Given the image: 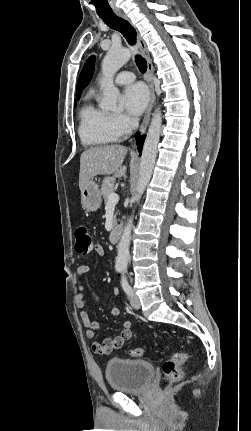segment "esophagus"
<instances>
[{
  "instance_id": "obj_1",
  "label": "esophagus",
  "mask_w": 251,
  "mask_h": 431,
  "mask_svg": "<svg viewBox=\"0 0 251 431\" xmlns=\"http://www.w3.org/2000/svg\"><path fill=\"white\" fill-rule=\"evenodd\" d=\"M117 14L119 16H121L122 18H124L125 20L129 21L128 17L124 13L118 12ZM137 41H138V46L141 50V53L147 62V83H148L149 90H150L149 104L147 106L143 121H142L141 126H140V132L143 133V132H145V130L149 124L151 112H152L154 102H155V91H154V83H153V71H154V69H153L152 60L150 58L149 51L147 49L145 41L143 40V38L140 35L137 36Z\"/></svg>"
}]
</instances>
